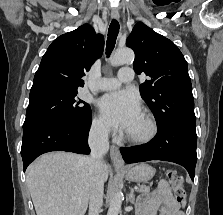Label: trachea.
Masks as SVG:
<instances>
[{"label":"trachea","mask_w":223,"mask_h":215,"mask_svg":"<svg viewBox=\"0 0 223 215\" xmlns=\"http://www.w3.org/2000/svg\"><path fill=\"white\" fill-rule=\"evenodd\" d=\"M120 30V25L116 20H113L109 26L107 45H106V55L109 58L112 50L115 47L116 39Z\"/></svg>","instance_id":"1"}]
</instances>
